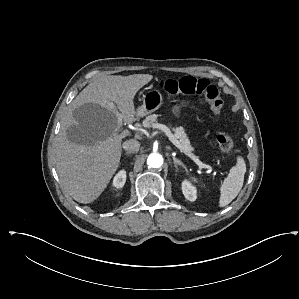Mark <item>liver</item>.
<instances>
[{
    "label": "liver",
    "mask_w": 299,
    "mask_h": 299,
    "mask_svg": "<svg viewBox=\"0 0 299 299\" xmlns=\"http://www.w3.org/2000/svg\"><path fill=\"white\" fill-rule=\"evenodd\" d=\"M150 74L110 75L95 79L72 101L56 147V167L66 192L79 203H91L118 169L122 139L120 118L133 123L134 97L152 80ZM110 103L116 104L115 108Z\"/></svg>",
    "instance_id": "obj_1"
}]
</instances>
